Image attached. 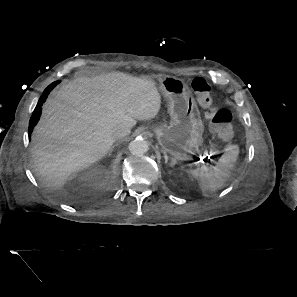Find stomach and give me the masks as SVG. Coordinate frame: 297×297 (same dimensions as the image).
I'll return each mask as SVG.
<instances>
[{
  "label": "stomach",
  "mask_w": 297,
  "mask_h": 297,
  "mask_svg": "<svg viewBox=\"0 0 297 297\" xmlns=\"http://www.w3.org/2000/svg\"><path fill=\"white\" fill-rule=\"evenodd\" d=\"M159 90L167 99L171 121L154 129L164 152L176 161L190 159L203 144V123L189 87L178 78L159 79Z\"/></svg>",
  "instance_id": "0dacf381"
}]
</instances>
